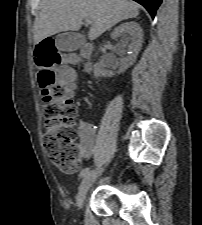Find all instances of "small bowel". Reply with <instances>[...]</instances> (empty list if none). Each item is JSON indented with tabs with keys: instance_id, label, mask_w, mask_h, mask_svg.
<instances>
[{
	"instance_id": "obj_1",
	"label": "small bowel",
	"mask_w": 202,
	"mask_h": 225,
	"mask_svg": "<svg viewBox=\"0 0 202 225\" xmlns=\"http://www.w3.org/2000/svg\"><path fill=\"white\" fill-rule=\"evenodd\" d=\"M70 69H60V73L70 72ZM71 89H75V83L68 80ZM79 130V154L82 160L89 159L99 143V139L95 135V127L86 120H82L78 124Z\"/></svg>"
}]
</instances>
